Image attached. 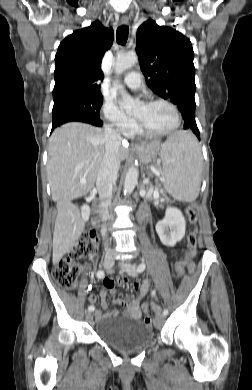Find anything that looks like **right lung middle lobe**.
I'll use <instances>...</instances> for the list:
<instances>
[{"mask_svg": "<svg viewBox=\"0 0 252 390\" xmlns=\"http://www.w3.org/2000/svg\"><path fill=\"white\" fill-rule=\"evenodd\" d=\"M102 103V96L78 95L60 99L54 101L52 118L78 116L101 122L99 112Z\"/></svg>", "mask_w": 252, "mask_h": 390, "instance_id": "1", "label": "right lung middle lobe"}]
</instances>
